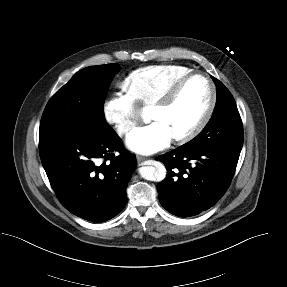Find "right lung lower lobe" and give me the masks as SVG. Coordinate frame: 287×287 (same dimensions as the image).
I'll return each mask as SVG.
<instances>
[{
    "label": "right lung lower lobe",
    "instance_id": "obj_1",
    "mask_svg": "<svg viewBox=\"0 0 287 287\" xmlns=\"http://www.w3.org/2000/svg\"><path fill=\"white\" fill-rule=\"evenodd\" d=\"M39 152L53 190L74 215L99 223L124 208L136 158L110 127L88 137L39 144Z\"/></svg>",
    "mask_w": 287,
    "mask_h": 287
}]
</instances>
